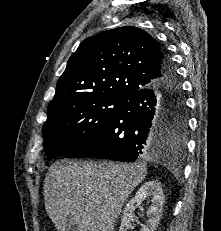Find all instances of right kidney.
Listing matches in <instances>:
<instances>
[{
	"mask_svg": "<svg viewBox=\"0 0 221 231\" xmlns=\"http://www.w3.org/2000/svg\"><path fill=\"white\" fill-rule=\"evenodd\" d=\"M147 199L151 202L147 209V223L141 231H155L162 216L164 204V194L161 184L156 180H151L143 184L136 192L135 196L128 202L123 211L119 231H128L132 228L131 222L134 220V211L142 202Z\"/></svg>",
	"mask_w": 221,
	"mask_h": 231,
	"instance_id": "1",
	"label": "right kidney"
}]
</instances>
